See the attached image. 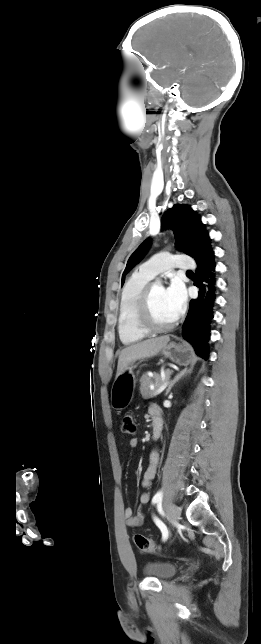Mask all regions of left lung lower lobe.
I'll use <instances>...</instances> for the list:
<instances>
[{
    "mask_svg": "<svg viewBox=\"0 0 261 644\" xmlns=\"http://www.w3.org/2000/svg\"><path fill=\"white\" fill-rule=\"evenodd\" d=\"M197 264L195 285L200 289L199 296L190 301L189 311L182 326V335L200 357L207 359L210 352V323L214 317L213 307L216 299L214 253Z\"/></svg>",
    "mask_w": 261,
    "mask_h": 644,
    "instance_id": "0a47b994",
    "label": "left lung lower lobe"
}]
</instances>
